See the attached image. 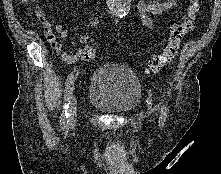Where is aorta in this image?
Wrapping results in <instances>:
<instances>
[{"label": "aorta", "mask_w": 221, "mask_h": 174, "mask_svg": "<svg viewBox=\"0 0 221 174\" xmlns=\"http://www.w3.org/2000/svg\"><path fill=\"white\" fill-rule=\"evenodd\" d=\"M111 14L125 16L130 10L131 0H106Z\"/></svg>", "instance_id": "1"}]
</instances>
